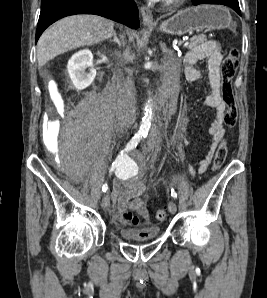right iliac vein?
I'll use <instances>...</instances> for the list:
<instances>
[{"label": "right iliac vein", "mask_w": 267, "mask_h": 298, "mask_svg": "<svg viewBox=\"0 0 267 298\" xmlns=\"http://www.w3.org/2000/svg\"><path fill=\"white\" fill-rule=\"evenodd\" d=\"M109 204H110V197L108 194H105L102 197L101 206H102V208L107 209L109 207Z\"/></svg>", "instance_id": "63e3f726"}]
</instances>
